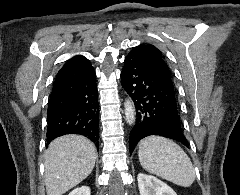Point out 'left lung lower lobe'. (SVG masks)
I'll use <instances>...</instances> for the list:
<instances>
[{"label": "left lung lower lobe", "instance_id": "left-lung-lower-lobe-1", "mask_svg": "<svg viewBox=\"0 0 240 195\" xmlns=\"http://www.w3.org/2000/svg\"><path fill=\"white\" fill-rule=\"evenodd\" d=\"M122 86L134 101L136 124L130 133V153L149 135H160L188 143L178 115L172 79L140 58L127 56L121 72Z\"/></svg>", "mask_w": 240, "mask_h": 195}]
</instances>
